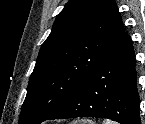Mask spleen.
<instances>
[{
	"instance_id": "spleen-1",
	"label": "spleen",
	"mask_w": 145,
	"mask_h": 124,
	"mask_svg": "<svg viewBox=\"0 0 145 124\" xmlns=\"http://www.w3.org/2000/svg\"><path fill=\"white\" fill-rule=\"evenodd\" d=\"M103 124H116V123L109 121V120H106Z\"/></svg>"
}]
</instances>
